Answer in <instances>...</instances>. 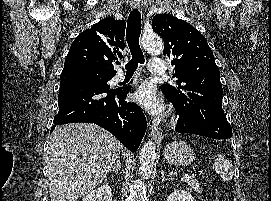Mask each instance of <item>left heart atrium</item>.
<instances>
[{
    "mask_svg": "<svg viewBox=\"0 0 271 201\" xmlns=\"http://www.w3.org/2000/svg\"><path fill=\"white\" fill-rule=\"evenodd\" d=\"M134 100L150 114L158 115L164 110L162 100L157 96L154 87L143 84L134 94Z\"/></svg>",
    "mask_w": 271,
    "mask_h": 201,
    "instance_id": "obj_1",
    "label": "left heart atrium"
}]
</instances>
